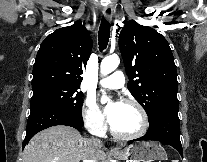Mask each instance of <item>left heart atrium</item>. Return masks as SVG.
I'll use <instances>...</instances> for the list:
<instances>
[{"label":"left heart atrium","mask_w":207,"mask_h":162,"mask_svg":"<svg viewBox=\"0 0 207 162\" xmlns=\"http://www.w3.org/2000/svg\"><path fill=\"white\" fill-rule=\"evenodd\" d=\"M106 116H107L108 121L111 123L113 116H114V112L111 108H108L106 110Z\"/></svg>","instance_id":"left-heart-atrium-1"}]
</instances>
